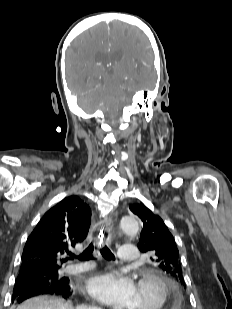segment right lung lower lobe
Returning <instances> with one entry per match:
<instances>
[{
    "mask_svg": "<svg viewBox=\"0 0 232 309\" xmlns=\"http://www.w3.org/2000/svg\"><path fill=\"white\" fill-rule=\"evenodd\" d=\"M31 265H22L19 273H34ZM43 294H56L65 299H69L72 296V290L69 286V281L66 279L64 283L57 285H46L35 283L32 280L16 279L13 289V300L18 303L24 300Z\"/></svg>",
    "mask_w": 232,
    "mask_h": 309,
    "instance_id": "1",
    "label": "right lung lower lobe"
}]
</instances>
